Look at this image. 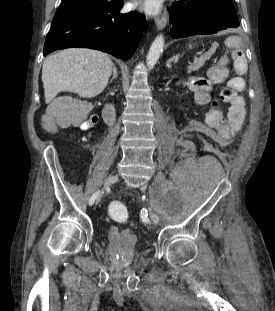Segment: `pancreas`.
<instances>
[{
	"instance_id": "obj_1",
	"label": "pancreas",
	"mask_w": 275,
	"mask_h": 311,
	"mask_svg": "<svg viewBox=\"0 0 275 311\" xmlns=\"http://www.w3.org/2000/svg\"><path fill=\"white\" fill-rule=\"evenodd\" d=\"M195 68H196V64H193V65L190 67L191 70H194Z\"/></svg>"
}]
</instances>
